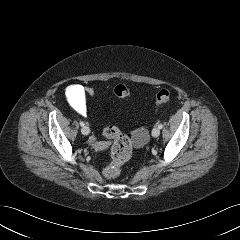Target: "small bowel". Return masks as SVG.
Instances as JSON below:
<instances>
[{"label": "small bowel", "mask_w": 240, "mask_h": 240, "mask_svg": "<svg viewBox=\"0 0 240 240\" xmlns=\"http://www.w3.org/2000/svg\"><path fill=\"white\" fill-rule=\"evenodd\" d=\"M66 98L70 106L80 115H86V93L82 85L73 84L66 89ZM133 143L136 147L143 146L148 140V132L143 129H137L132 135ZM90 144L97 151H102L108 148L109 143L97 141L95 137L89 139Z\"/></svg>", "instance_id": "obj_1"}]
</instances>
